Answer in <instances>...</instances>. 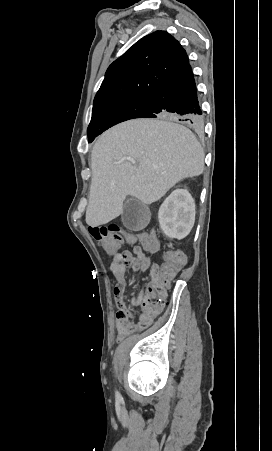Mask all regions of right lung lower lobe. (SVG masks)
Here are the masks:
<instances>
[{
    "instance_id": "obj_1",
    "label": "right lung lower lobe",
    "mask_w": 272,
    "mask_h": 451,
    "mask_svg": "<svg viewBox=\"0 0 272 451\" xmlns=\"http://www.w3.org/2000/svg\"><path fill=\"white\" fill-rule=\"evenodd\" d=\"M202 114L194 75L188 62L150 95L147 108L136 118L174 119L199 128L203 123Z\"/></svg>"
}]
</instances>
